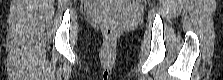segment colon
<instances>
[{
	"label": "colon",
	"mask_w": 223,
	"mask_h": 80,
	"mask_svg": "<svg viewBox=\"0 0 223 80\" xmlns=\"http://www.w3.org/2000/svg\"><path fill=\"white\" fill-rule=\"evenodd\" d=\"M132 2L134 4H139L140 3L139 0H134ZM103 32L105 33L106 36L112 37L116 34L117 30L114 26L106 24V25L103 26Z\"/></svg>",
	"instance_id": "colon-1"
}]
</instances>
